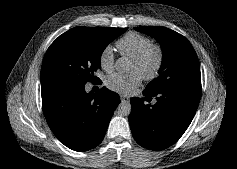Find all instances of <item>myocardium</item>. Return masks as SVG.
Instances as JSON below:
<instances>
[{
  "instance_id": "obj_1",
  "label": "myocardium",
  "mask_w": 237,
  "mask_h": 169,
  "mask_svg": "<svg viewBox=\"0 0 237 169\" xmlns=\"http://www.w3.org/2000/svg\"><path fill=\"white\" fill-rule=\"evenodd\" d=\"M152 54L155 55V62L154 65L149 70H146L142 74V77L145 80H151L158 74L162 66L164 57L162 48L159 45L152 43L151 45L146 47L143 51H141L139 54L132 57L133 60H135L136 62L144 64L149 58V56Z\"/></svg>"
}]
</instances>
